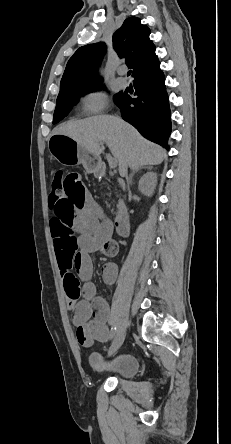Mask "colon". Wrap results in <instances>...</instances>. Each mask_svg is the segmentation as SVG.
Segmentation results:
<instances>
[{
	"label": "colon",
	"mask_w": 231,
	"mask_h": 444,
	"mask_svg": "<svg viewBox=\"0 0 231 444\" xmlns=\"http://www.w3.org/2000/svg\"><path fill=\"white\" fill-rule=\"evenodd\" d=\"M65 182V175L64 172L60 169L54 171L53 177H52V191H51V197L58 200L65 196L66 189L64 186Z\"/></svg>",
	"instance_id": "obj_1"
}]
</instances>
